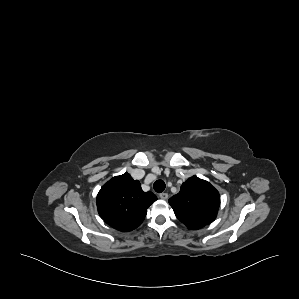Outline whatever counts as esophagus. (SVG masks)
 Here are the masks:
<instances>
[{
	"label": "esophagus",
	"mask_w": 299,
	"mask_h": 299,
	"mask_svg": "<svg viewBox=\"0 0 299 299\" xmlns=\"http://www.w3.org/2000/svg\"><path fill=\"white\" fill-rule=\"evenodd\" d=\"M159 197L163 200H167L168 199V194L163 192V193H160Z\"/></svg>",
	"instance_id": "obj_1"
}]
</instances>
